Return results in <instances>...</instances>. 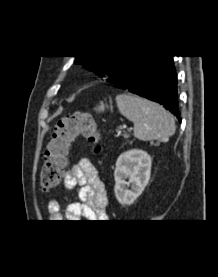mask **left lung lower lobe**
Segmentation results:
<instances>
[{"label": "left lung lower lobe", "mask_w": 218, "mask_h": 277, "mask_svg": "<svg viewBox=\"0 0 218 277\" xmlns=\"http://www.w3.org/2000/svg\"><path fill=\"white\" fill-rule=\"evenodd\" d=\"M107 81L162 104L181 122L172 56H135Z\"/></svg>", "instance_id": "obj_1"}]
</instances>
